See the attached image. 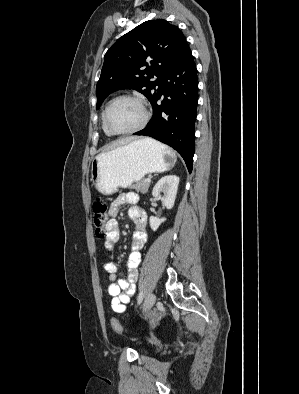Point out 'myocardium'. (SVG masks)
<instances>
[{
    "label": "myocardium",
    "mask_w": 299,
    "mask_h": 394,
    "mask_svg": "<svg viewBox=\"0 0 299 394\" xmlns=\"http://www.w3.org/2000/svg\"><path fill=\"white\" fill-rule=\"evenodd\" d=\"M123 99H129V100H134L136 101L142 108L143 111V118L141 120V122L134 128L127 130V131H115L114 129L111 128V126L109 125V112L112 108V106L119 100H123ZM150 119V111L149 108L146 105V102L137 95L134 94H122L119 95L115 98H113L107 105L105 112H104V124L106 129L108 130V132L112 135H118V136H124V135H131L134 133L139 132L140 130H142L148 123Z\"/></svg>",
    "instance_id": "obj_1"
}]
</instances>
